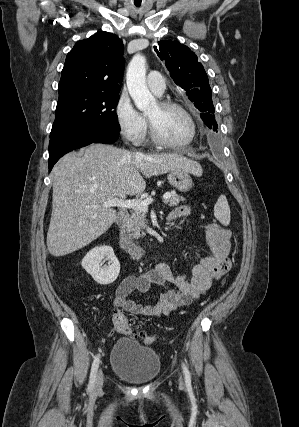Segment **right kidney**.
I'll list each match as a JSON object with an SVG mask.
<instances>
[{
    "label": "right kidney",
    "mask_w": 299,
    "mask_h": 427,
    "mask_svg": "<svg viewBox=\"0 0 299 427\" xmlns=\"http://www.w3.org/2000/svg\"><path fill=\"white\" fill-rule=\"evenodd\" d=\"M103 260H107L108 265L102 266ZM81 265L101 285L113 283L120 272V263L112 247L105 245L90 250L82 259Z\"/></svg>",
    "instance_id": "1"
}]
</instances>
